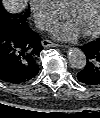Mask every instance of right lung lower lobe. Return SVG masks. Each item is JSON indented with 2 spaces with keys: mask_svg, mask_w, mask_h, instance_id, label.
<instances>
[{
  "mask_svg": "<svg viewBox=\"0 0 100 118\" xmlns=\"http://www.w3.org/2000/svg\"><path fill=\"white\" fill-rule=\"evenodd\" d=\"M41 37L26 19L9 15L0 22V79L13 84L31 80L39 72Z\"/></svg>",
  "mask_w": 100,
  "mask_h": 118,
  "instance_id": "98d812e1",
  "label": "right lung lower lobe"
}]
</instances>
